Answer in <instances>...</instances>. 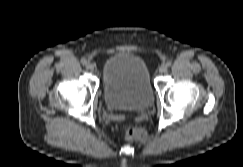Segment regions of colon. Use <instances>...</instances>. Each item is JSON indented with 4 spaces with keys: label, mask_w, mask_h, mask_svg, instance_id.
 <instances>
[{
    "label": "colon",
    "mask_w": 243,
    "mask_h": 167,
    "mask_svg": "<svg viewBox=\"0 0 243 167\" xmlns=\"http://www.w3.org/2000/svg\"><path fill=\"white\" fill-rule=\"evenodd\" d=\"M122 129L125 132L126 138L129 140L143 139L146 135L142 128L134 124H123Z\"/></svg>",
    "instance_id": "5ec220e1"
}]
</instances>
